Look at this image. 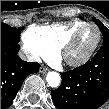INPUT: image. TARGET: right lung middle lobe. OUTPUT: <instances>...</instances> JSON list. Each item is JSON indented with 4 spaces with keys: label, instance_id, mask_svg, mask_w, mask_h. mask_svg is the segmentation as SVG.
<instances>
[{
    "label": "right lung middle lobe",
    "instance_id": "dd1d6c3e",
    "mask_svg": "<svg viewBox=\"0 0 109 109\" xmlns=\"http://www.w3.org/2000/svg\"><path fill=\"white\" fill-rule=\"evenodd\" d=\"M23 29L24 27L17 29L5 23H1V37L18 44L20 38V31H22Z\"/></svg>",
    "mask_w": 109,
    "mask_h": 109
}]
</instances>
